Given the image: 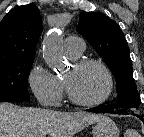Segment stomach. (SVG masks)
<instances>
[{
	"label": "stomach",
	"instance_id": "0dacf381",
	"mask_svg": "<svg viewBox=\"0 0 144 137\" xmlns=\"http://www.w3.org/2000/svg\"><path fill=\"white\" fill-rule=\"evenodd\" d=\"M92 134L93 137H119L120 131L112 119L103 116L95 123Z\"/></svg>",
	"mask_w": 144,
	"mask_h": 137
}]
</instances>
